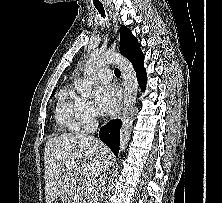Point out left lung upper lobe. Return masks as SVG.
<instances>
[{"label":"left lung upper lobe","instance_id":"1","mask_svg":"<svg viewBox=\"0 0 222 203\" xmlns=\"http://www.w3.org/2000/svg\"><path fill=\"white\" fill-rule=\"evenodd\" d=\"M120 53L126 58L132 57L136 51L140 48V44L136 37L133 36L131 31L125 27H120Z\"/></svg>","mask_w":222,"mask_h":203}]
</instances>
